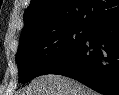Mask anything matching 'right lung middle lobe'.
<instances>
[{
	"label": "right lung middle lobe",
	"mask_w": 119,
	"mask_h": 95,
	"mask_svg": "<svg viewBox=\"0 0 119 95\" xmlns=\"http://www.w3.org/2000/svg\"><path fill=\"white\" fill-rule=\"evenodd\" d=\"M90 29L77 24L47 26L21 37L16 56L19 82L42 75L83 40Z\"/></svg>",
	"instance_id": "1"
}]
</instances>
